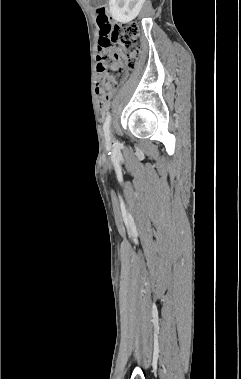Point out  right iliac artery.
<instances>
[{
    "label": "right iliac artery",
    "mask_w": 241,
    "mask_h": 379,
    "mask_svg": "<svg viewBox=\"0 0 241 379\" xmlns=\"http://www.w3.org/2000/svg\"><path fill=\"white\" fill-rule=\"evenodd\" d=\"M110 124H111V116L108 115L104 123V134H105V139L108 146L110 145Z\"/></svg>",
    "instance_id": "obj_1"
}]
</instances>
